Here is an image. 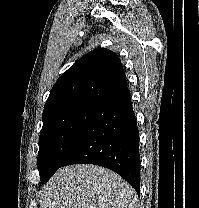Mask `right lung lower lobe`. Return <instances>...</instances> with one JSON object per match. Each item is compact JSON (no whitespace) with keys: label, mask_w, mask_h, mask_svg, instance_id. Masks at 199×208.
Here are the masks:
<instances>
[{"label":"right lung lower lobe","mask_w":199,"mask_h":208,"mask_svg":"<svg viewBox=\"0 0 199 208\" xmlns=\"http://www.w3.org/2000/svg\"><path fill=\"white\" fill-rule=\"evenodd\" d=\"M83 163L115 171L140 195L139 132L128 90L100 107L60 167Z\"/></svg>","instance_id":"obj_1"}]
</instances>
